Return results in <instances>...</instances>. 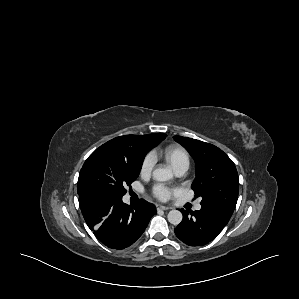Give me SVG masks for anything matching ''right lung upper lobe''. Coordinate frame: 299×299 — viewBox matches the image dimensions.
Returning a JSON list of instances; mask_svg holds the SVG:
<instances>
[{"label":"right lung upper lobe","instance_id":"obj_1","mask_svg":"<svg viewBox=\"0 0 299 299\" xmlns=\"http://www.w3.org/2000/svg\"><path fill=\"white\" fill-rule=\"evenodd\" d=\"M166 134L125 135L116 137L105 145L116 151L126 161L143 163L146 153L166 138Z\"/></svg>","mask_w":299,"mask_h":299}]
</instances>
